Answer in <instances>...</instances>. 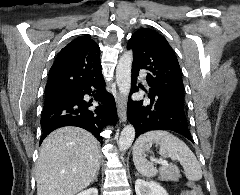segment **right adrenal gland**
I'll list each match as a JSON object with an SVG mask.
<instances>
[{
    "label": "right adrenal gland",
    "instance_id": "1",
    "mask_svg": "<svg viewBox=\"0 0 240 195\" xmlns=\"http://www.w3.org/2000/svg\"><path fill=\"white\" fill-rule=\"evenodd\" d=\"M93 181H98V173H96L94 179H92L91 183H93Z\"/></svg>",
    "mask_w": 240,
    "mask_h": 195
}]
</instances>
